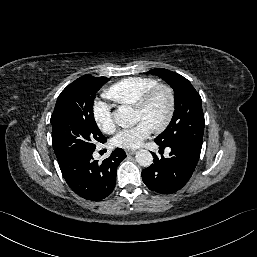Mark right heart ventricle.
<instances>
[{
    "label": "right heart ventricle",
    "mask_w": 257,
    "mask_h": 257,
    "mask_svg": "<svg viewBox=\"0 0 257 257\" xmlns=\"http://www.w3.org/2000/svg\"><path fill=\"white\" fill-rule=\"evenodd\" d=\"M156 85L158 82L153 78L129 77L112 84L104 96L118 104L134 107L140 98Z\"/></svg>",
    "instance_id": "1"
}]
</instances>
